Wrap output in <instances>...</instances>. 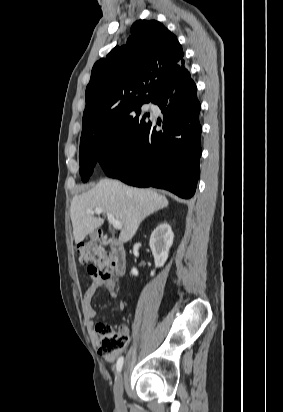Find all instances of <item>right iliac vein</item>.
<instances>
[{
    "label": "right iliac vein",
    "mask_w": 283,
    "mask_h": 412,
    "mask_svg": "<svg viewBox=\"0 0 283 412\" xmlns=\"http://www.w3.org/2000/svg\"><path fill=\"white\" fill-rule=\"evenodd\" d=\"M123 381H124V375L122 372L118 376L115 386H114V399H115V404L118 410H122L124 408Z\"/></svg>",
    "instance_id": "1"
}]
</instances>
